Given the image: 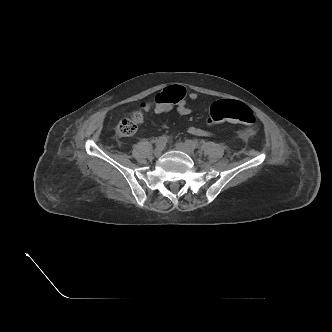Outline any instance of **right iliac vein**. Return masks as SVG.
Listing matches in <instances>:
<instances>
[{"mask_svg": "<svg viewBox=\"0 0 332 332\" xmlns=\"http://www.w3.org/2000/svg\"><path fill=\"white\" fill-rule=\"evenodd\" d=\"M164 147L163 146H157L154 150L155 157H160L163 153Z\"/></svg>", "mask_w": 332, "mask_h": 332, "instance_id": "right-iliac-vein-1", "label": "right iliac vein"}]
</instances>
